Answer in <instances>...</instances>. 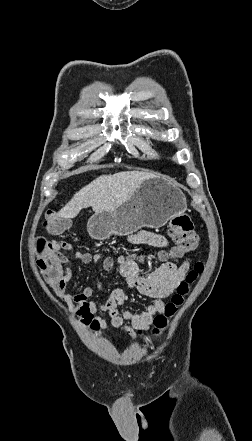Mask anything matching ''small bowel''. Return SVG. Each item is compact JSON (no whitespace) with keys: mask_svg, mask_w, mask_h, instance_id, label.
Instances as JSON below:
<instances>
[{"mask_svg":"<svg viewBox=\"0 0 252 441\" xmlns=\"http://www.w3.org/2000/svg\"><path fill=\"white\" fill-rule=\"evenodd\" d=\"M130 242L147 244L157 248H164L168 245V241L163 235L146 230L132 235ZM60 247L66 251L74 249V246L69 242H61ZM102 256L101 253L76 252L74 258L83 264H95ZM162 258L166 261L148 274L141 273L138 264L134 260L126 259L123 256L117 258L119 273L125 280L127 289H136L153 300L141 311L133 312L125 309L124 305L128 300V295L123 288L112 290L104 303L89 300L94 293L89 286L84 287L76 295L65 293V284L71 278L69 269L59 282L48 281V283L54 289L56 295L67 304L71 313L79 318L82 325L89 324L96 318L99 311H104L109 315L113 327L134 337L136 330L149 329L155 316L163 313L164 300L173 295L190 268L191 260L189 258L181 263L174 255L163 253ZM62 261H67V259L62 256ZM114 263L115 258L110 255L103 259L102 267L105 271H111ZM97 289H102V283L99 280H97ZM126 321L130 323V326L125 325Z\"/></svg>","mask_w":252,"mask_h":441,"instance_id":"1","label":"small bowel"}]
</instances>
